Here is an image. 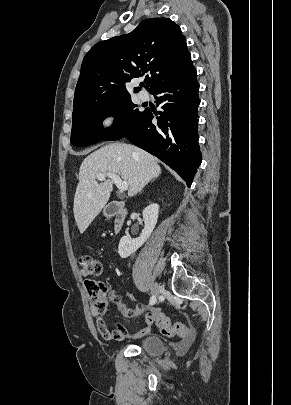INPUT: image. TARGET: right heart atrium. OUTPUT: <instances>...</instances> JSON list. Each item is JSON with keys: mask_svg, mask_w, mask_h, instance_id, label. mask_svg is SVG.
I'll return each mask as SVG.
<instances>
[{"mask_svg": "<svg viewBox=\"0 0 291 405\" xmlns=\"http://www.w3.org/2000/svg\"><path fill=\"white\" fill-rule=\"evenodd\" d=\"M120 120V113L117 111H111L106 113L99 122L101 129L112 130L114 129Z\"/></svg>", "mask_w": 291, "mask_h": 405, "instance_id": "right-heart-atrium-1", "label": "right heart atrium"}]
</instances>
